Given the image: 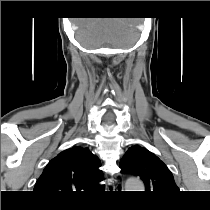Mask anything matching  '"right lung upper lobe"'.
<instances>
[{"label": "right lung upper lobe", "mask_w": 210, "mask_h": 210, "mask_svg": "<svg viewBox=\"0 0 210 210\" xmlns=\"http://www.w3.org/2000/svg\"><path fill=\"white\" fill-rule=\"evenodd\" d=\"M100 160L88 148L72 147L59 153L45 167L34 191L56 203H67L102 187Z\"/></svg>", "instance_id": "right-lung-upper-lobe-1"}]
</instances>
